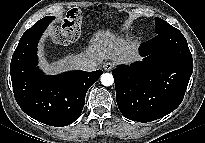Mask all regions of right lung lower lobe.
<instances>
[{
	"instance_id": "98d812e1",
	"label": "right lung lower lobe",
	"mask_w": 205,
	"mask_h": 143,
	"mask_svg": "<svg viewBox=\"0 0 205 143\" xmlns=\"http://www.w3.org/2000/svg\"><path fill=\"white\" fill-rule=\"evenodd\" d=\"M53 19L45 17L39 20L22 35L12 56L10 74L20 108L39 122L61 127L79 118L87 90L103 71L78 70L46 76L38 70L37 43Z\"/></svg>"
}]
</instances>
